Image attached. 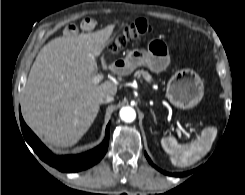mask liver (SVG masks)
Segmentation results:
<instances>
[{"label": "liver", "instance_id": "liver-1", "mask_svg": "<svg viewBox=\"0 0 245 195\" xmlns=\"http://www.w3.org/2000/svg\"><path fill=\"white\" fill-rule=\"evenodd\" d=\"M114 25L76 37L48 42L38 53L22 96L27 125L43 141L55 147L76 144L88 131L100 109L102 94L115 95L117 84L98 85L92 78L97 60ZM104 69H113L102 61Z\"/></svg>", "mask_w": 245, "mask_h": 195}]
</instances>
